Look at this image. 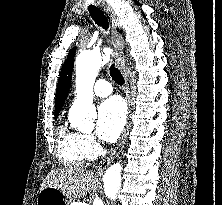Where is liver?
<instances>
[{
	"label": "liver",
	"mask_w": 222,
	"mask_h": 205,
	"mask_svg": "<svg viewBox=\"0 0 222 205\" xmlns=\"http://www.w3.org/2000/svg\"><path fill=\"white\" fill-rule=\"evenodd\" d=\"M96 178L79 166H67L51 171L41 189L52 187L62 190L69 198H82L95 186Z\"/></svg>",
	"instance_id": "1"
}]
</instances>
